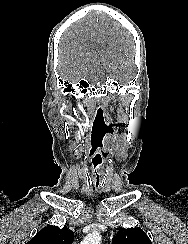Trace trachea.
Segmentation results:
<instances>
[{
	"label": "trachea",
	"mask_w": 188,
	"mask_h": 244,
	"mask_svg": "<svg viewBox=\"0 0 188 244\" xmlns=\"http://www.w3.org/2000/svg\"><path fill=\"white\" fill-rule=\"evenodd\" d=\"M95 184H96V185H99V184H100V181H99V180H96V181H95Z\"/></svg>",
	"instance_id": "obj_1"
}]
</instances>
